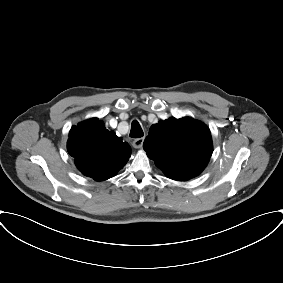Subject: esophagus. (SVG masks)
Wrapping results in <instances>:
<instances>
[{
	"mask_svg": "<svg viewBox=\"0 0 283 283\" xmlns=\"http://www.w3.org/2000/svg\"><path fill=\"white\" fill-rule=\"evenodd\" d=\"M144 142V138H136L133 140L132 145L134 148H141Z\"/></svg>",
	"mask_w": 283,
	"mask_h": 283,
	"instance_id": "esophagus-1",
	"label": "esophagus"
}]
</instances>
